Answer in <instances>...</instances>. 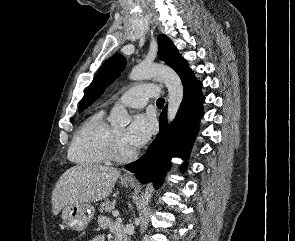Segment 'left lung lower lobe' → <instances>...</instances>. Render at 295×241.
<instances>
[{
	"instance_id": "obj_1",
	"label": "left lung lower lobe",
	"mask_w": 295,
	"mask_h": 241,
	"mask_svg": "<svg viewBox=\"0 0 295 241\" xmlns=\"http://www.w3.org/2000/svg\"><path fill=\"white\" fill-rule=\"evenodd\" d=\"M183 86V100L173 123L167 125L165 107L159 118L160 133L146 154L125 166V169L135 173L142 183L153 181L156 187L159 186L170 169V159L187 158L190 154L191 145L198 132V123L203 115L204 97L200 91L202 84L194 75L188 77Z\"/></svg>"
}]
</instances>
